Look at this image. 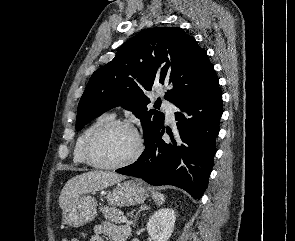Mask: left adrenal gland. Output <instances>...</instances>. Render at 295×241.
I'll return each instance as SVG.
<instances>
[{
  "mask_svg": "<svg viewBox=\"0 0 295 241\" xmlns=\"http://www.w3.org/2000/svg\"><path fill=\"white\" fill-rule=\"evenodd\" d=\"M149 209V206H147L146 204H143L140 206L138 212L135 214L133 220H132V226L134 227L135 226V223H136V218L138 216V214L141 212V211H144V210H148Z\"/></svg>",
  "mask_w": 295,
  "mask_h": 241,
  "instance_id": "obj_1",
  "label": "left adrenal gland"
}]
</instances>
